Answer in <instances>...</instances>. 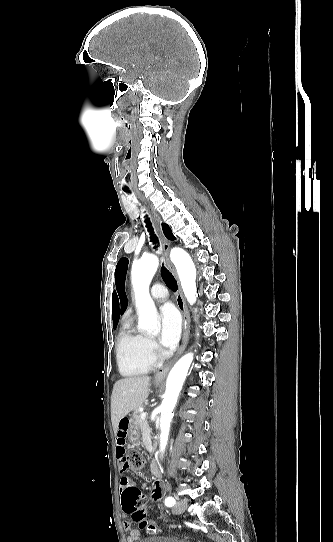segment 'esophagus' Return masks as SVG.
Instances as JSON below:
<instances>
[{
  "label": "esophagus",
  "instance_id": "esophagus-1",
  "mask_svg": "<svg viewBox=\"0 0 333 542\" xmlns=\"http://www.w3.org/2000/svg\"><path fill=\"white\" fill-rule=\"evenodd\" d=\"M137 194L143 200V202L147 205L157 229L161 232V219L158 213L156 212L155 208L142 196V194H140L139 192ZM161 243H162V251L165 255L166 266L171 270V272L175 275L178 281V292L176 294V303H177L178 309L180 310L183 316V336H182V342H181L180 348L177 351L173 361L159 368V370H157L154 376L155 383L162 382L166 378L173 362L184 352L189 340V335H190V315L185 306L182 290L179 284L176 271L170 261V257H169L170 241L166 239V237H164L163 234L161 235Z\"/></svg>",
  "mask_w": 333,
  "mask_h": 542
}]
</instances>
